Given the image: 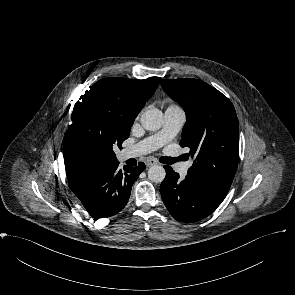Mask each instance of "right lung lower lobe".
<instances>
[{
	"mask_svg": "<svg viewBox=\"0 0 295 295\" xmlns=\"http://www.w3.org/2000/svg\"><path fill=\"white\" fill-rule=\"evenodd\" d=\"M119 162L104 164L89 170L71 190L94 219L111 217L126 206L133 183L145 169L140 162L137 167L124 166Z\"/></svg>",
	"mask_w": 295,
	"mask_h": 295,
	"instance_id": "obj_1",
	"label": "right lung lower lobe"
}]
</instances>
